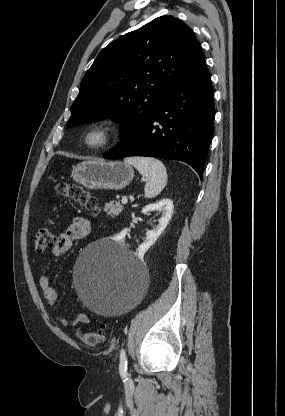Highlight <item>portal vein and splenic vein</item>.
Listing matches in <instances>:
<instances>
[{"instance_id": "obj_1", "label": "portal vein and splenic vein", "mask_w": 285, "mask_h": 416, "mask_svg": "<svg viewBox=\"0 0 285 416\" xmlns=\"http://www.w3.org/2000/svg\"><path fill=\"white\" fill-rule=\"evenodd\" d=\"M143 182H145V180H143ZM121 202L122 204H127L128 200L127 198H122Z\"/></svg>"}]
</instances>
